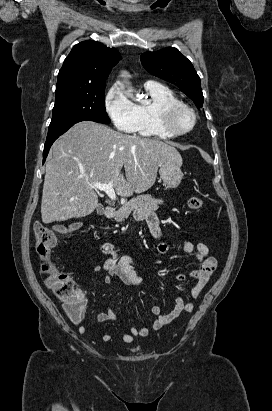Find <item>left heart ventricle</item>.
Masks as SVG:
<instances>
[{
    "label": "left heart ventricle",
    "instance_id": "obj_1",
    "mask_svg": "<svg viewBox=\"0 0 272 411\" xmlns=\"http://www.w3.org/2000/svg\"><path fill=\"white\" fill-rule=\"evenodd\" d=\"M175 125L179 129H184L191 123V116L188 112L182 111L175 116Z\"/></svg>",
    "mask_w": 272,
    "mask_h": 411
}]
</instances>
